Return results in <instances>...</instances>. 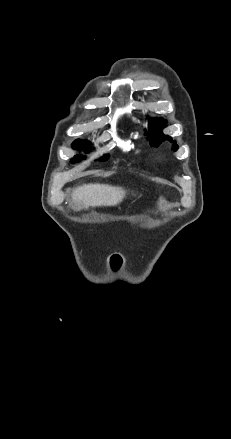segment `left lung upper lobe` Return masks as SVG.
I'll list each match as a JSON object with an SVG mask.
<instances>
[{"label": "left lung upper lobe", "mask_w": 231, "mask_h": 439, "mask_svg": "<svg viewBox=\"0 0 231 439\" xmlns=\"http://www.w3.org/2000/svg\"><path fill=\"white\" fill-rule=\"evenodd\" d=\"M166 124V121H163L161 118H155L150 121V128L149 132H146V134L151 133V140L150 144L152 146H158L161 142L159 140H168L173 143V149L176 151L178 148V145L175 141L172 140L171 137L165 136L160 129L164 128Z\"/></svg>", "instance_id": "1"}]
</instances>
